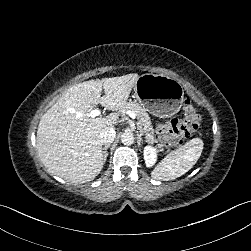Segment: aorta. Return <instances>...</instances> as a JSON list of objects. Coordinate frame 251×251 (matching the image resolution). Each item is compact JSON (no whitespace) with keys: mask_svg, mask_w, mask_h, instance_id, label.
<instances>
[{"mask_svg":"<svg viewBox=\"0 0 251 251\" xmlns=\"http://www.w3.org/2000/svg\"><path fill=\"white\" fill-rule=\"evenodd\" d=\"M121 142L125 145H131L134 142V136L131 132H124L121 135Z\"/></svg>","mask_w":251,"mask_h":251,"instance_id":"1","label":"aorta"}]
</instances>
